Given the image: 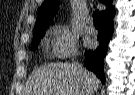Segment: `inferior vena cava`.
I'll use <instances>...</instances> for the list:
<instances>
[{
    "mask_svg": "<svg viewBox=\"0 0 135 95\" xmlns=\"http://www.w3.org/2000/svg\"><path fill=\"white\" fill-rule=\"evenodd\" d=\"M72 66H73L75 69L79 70V71L82 70V66L79 65L78 63H72ZM90 90H91V88H90V86H88V91H87V93H85V95H91Z\"/></svg>",
    "mask_w": 135,
    "mask_h": 95,
    "instance_id": "602c4592",
    "label": "inferior vena cava"
}]
</instances>
